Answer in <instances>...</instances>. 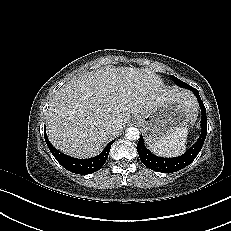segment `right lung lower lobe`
<instances>
[{
    "instance_id": "obj_1",
    "label": "right lung lower lobe",
    "mask_w": 231,
    "mask_h": 231,
    "mask_svg": "<svg viewBox=\"0 0 231 231\" xmlns=\"http://www.w3.org/2000/svg\"><path fill=\"white\" fill-rule=\"evenodd\" d=\"M44 137L46 144L55 157V159L67 170L71 171L72 173L76 174H91L99 169L104 165L107 160L108 154L110 152L111 145L113 144L114 140H112L105 149L96 157L89 158V159H76L65 155L58 151L56 148L52 146L50 141L47 138L46 131L44 129Z\"/></svg>"
}]
</instances>
